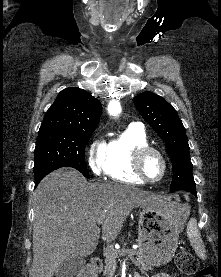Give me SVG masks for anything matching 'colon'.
I'll return each instance as SVG.
<instances>
[{"label":"colon","mask_w":221,"mask_h":277,"mask_svg":"<svg viewBox=\"0 0 221 277\" xmlns=\"http://www.w3.org/2000/svg\"><path fill=\"white\" fill-rule=\"evenodd\" d=\"M175 265L186 275H194V277H215L213 268H199L198 260L192 254L185 251L176 254Z\"/></svg>","instance_id":"1"}]
</instances>
